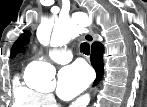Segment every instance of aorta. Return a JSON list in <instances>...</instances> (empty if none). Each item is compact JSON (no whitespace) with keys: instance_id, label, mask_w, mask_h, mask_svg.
Here are the masks:
<instances>
[{"instance_id":"aorta-1","label":"aorta","mask_w":147,"mask_h":107,"mask_svg":"<svg viewBox=\"0 0 147 107\" xmlns=\"http://www.w3.org/2000/svg\"><path fill=\"white\" fill-rule=\"evenodd\" d=\"M84 31L83 19L68 22L58 21L54 25L50 44L52 46L65 45ZM44 37V31L40 30L38 32L39 40H43ZM27 71L29 85L45 89L55 87L54 77L56 70L51 64L34 61L28 65Z\"/></svg>"}]
</instances>
